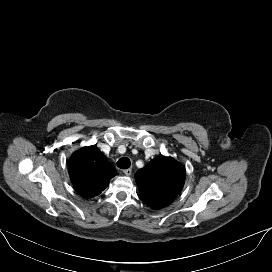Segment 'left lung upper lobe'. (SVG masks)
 <instances>
[{
  "label": "left lung upper lobe",
  "mask_w": 272,
  "mask_h": 272,
  "mask_svg": "<svg viewBox=\"0 0 272 272\" xmlns=\"http://www.w3.org/2000/svg\"><path fill=\"white\" fill-rule=\"evenodd\" d=\"M185 177L184 166L165 156L151 160L135 174L141 199L153 209L168 206L182 190Z\"/></svg>",
  "instance_id": "1"
}]
</instances>
